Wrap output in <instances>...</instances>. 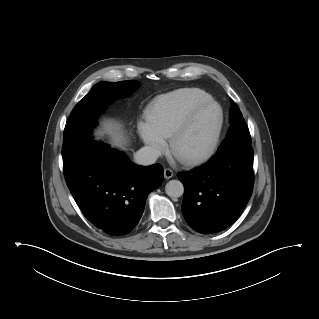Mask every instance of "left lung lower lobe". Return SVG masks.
Wrapping results in <instances>:
<instances>
[{"mask_svg":"<svg viewBox=\"0 0 319 319\" xmlns=\"http://www.w3.org/2000/svg\"><path fill=\"white\" fill-rule=\"evenodd\" d=\"M253 158L251 145L233 144L218 149L207 164L178 174L182 213L195 231L220 232L238 219L253 190Z\"/></svg>","mask_w":319,"mask_h":319,"instance_id":"1","label":"left lung lower lobe"}]
</instances>
